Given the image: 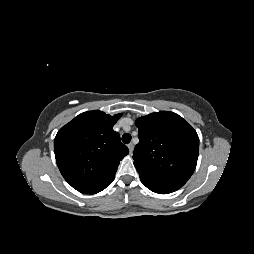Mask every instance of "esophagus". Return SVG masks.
Wrapping results in <instances>:
<instances>
[{"label": "esophagus", "instance_id": "esophagus-1", "mask_svg": "<svg viewBox=\"0 0 254 254\" xmlns=\"http://www.w3.org/2000/svg\"><path fill=\"white\" fill-rule=\"evenodd\" d=\"M128 149H129V151H130V154H132V152H133V150H134V145H133V143H129V144H128Z\"/></svg>", "mask_w": 254, "mask_h": 254}]
</instances>
